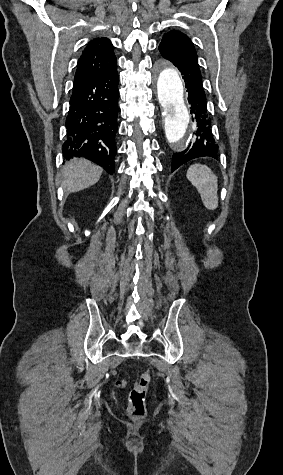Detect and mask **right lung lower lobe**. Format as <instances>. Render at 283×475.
I'll use <instances>...</instances> for the list:
<instances>
[{
	"label": "right lung lower lobe",
	"instance_id": "98d812e1",
	"mask_svg": "<svg viewBox=\"0 0 283 475\" xmlns=\"http://www.w3.org/2000/svg\"><path fill=\"white\" fill-rule=\"evenodd\" d=\"M118 83L117 68L105 74L74 79L65 123V159L85 157L109 174L114 173Z\"/></svg>",
	"mask_w": 283,
	"mask_h": 475
}]
</instances>
